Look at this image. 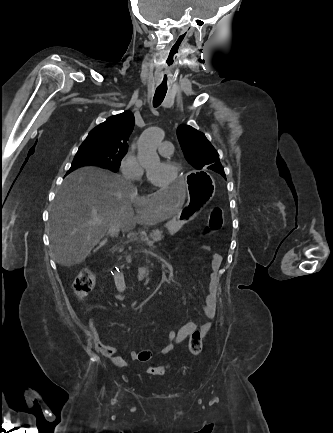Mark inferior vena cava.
<instances>
[{"instance_id":"602c4592","label":"inferior vena cava","mask_w":333,"mask_h":433,"mask_svg":"<svg viewBox=\"0 0 333 433\" xmlns=\"http://www.w3.org/2000/svg\"><path fill=\"white\" fill-rule=\"evenodd\" d=\"M119 231V226H118V221L116 220L113 224H111V226L109 227V231L108 233L110 235H116Z\"/></svg>"}]
</instances>
